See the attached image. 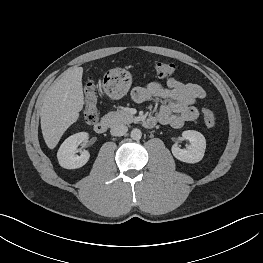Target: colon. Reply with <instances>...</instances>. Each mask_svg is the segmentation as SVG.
<instances>
[{"label": "colon", "instance_id": "colon-1", "mask_svg": "<svg viewBox=\"0 0 263 263\" xmlns=\"http://www.w3.org/2000/svg\"><path fill=\"white\" fill-rule=\"evenodd\" d=\"M153 70L158 77L168 78L175 75L179 68L171 62L157 61L153 63ZM85 106L83 110V120L86 124L92 125L98 120L96 84L89 79L84 84ZM204 122L207 127L214 128L217 120L210 110L203 109Z\"/></svg>", "mask_w": 263, "mask_h": 263}]
</instances>
